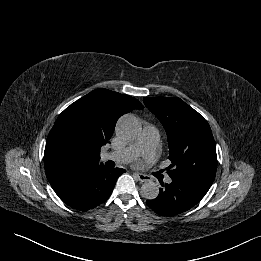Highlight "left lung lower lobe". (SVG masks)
<instances>
[{"label": "left lung lower lobe", "mask_w": 261, "mask_h": 261, "mask_svg": "<svg viewBox=\"0 0 261 261\" xmlns=\"http://www.w3.org/2000/svg\"><path fill=\"white\" fill-rule=\"evenodd\" d=\"M213 182L194 176L172 177L170 184H161L159 195L147 205L159 215L174 216L195 206Z\"/></svg>", "instance_id": "left-lung-lower-lobe-1"}]
</instances>
